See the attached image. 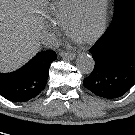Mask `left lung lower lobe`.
<instances>
[{
	"mask_svg": "<svg viewBox=\"0 0 135 135\" xmlns=\"http://www.w3.org/2000/svg\"><path fill=\"white\" fill-rule=\"evenodd\" d=\"M95 60L84 86L97 96L115 99L135 84V11L114 20L90 49Z\"/></svg>",
	"mask_w": 135,
	"mask_h": 135,
	"instance_id": "left-lung-lower-lobe-1",
	"label": "left lung lower lobe"
}]
</instances>
